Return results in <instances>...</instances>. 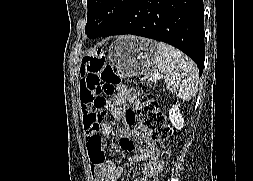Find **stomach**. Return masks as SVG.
I'll use <instances>...</instances> for the list:
<instances>
[{
  "label": "stomach",
  "mask_w": 253,
  "mask_h": 181,
  "mask_svg": "<svg viewBox=\"0 0 253 181\" xmlns=\"http://www.w3.org/2000/svg\"><path fill=\"white\" fill-rule=\"evenodd\" d=\"M108 51L109 61L122 76L150 74L156 70L159 53L154 40L121 36Z\"/></svg>",
  "instance_id": "1"
}]
</instances>
